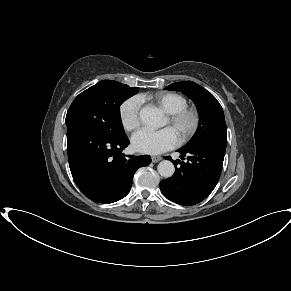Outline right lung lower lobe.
Instances as JSON below:
<instances>
[{"mask_svg": "<svg viewBox=\"0 0 291 291\" xmlns=\"http://www.w3.org/2000/svg\"><path fill=\"white\" fill-rule=\"evenodd\" d=\"M126 135L109 138L82 128L67 129V151L72 177L90 200L109 204L125 197L133 175L151 163L148 155L125 158Z\"/></svg>", "mask_w": 291, "mask_h": 291, "instance_id": "1", "label": "right lung lower lobe"}]
</instances>
